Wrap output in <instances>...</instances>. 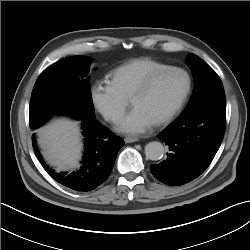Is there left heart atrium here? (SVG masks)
<instances>
[{"label":"left heart atrium","instance_id":"39dd6f15","mask_svg":"<svg viewBox=\"0 0 250 250\" xmlns=\"http://www.w3.org/2000/svg\"><path fill=\"white\" fill-rule=\"evenodd\" d=\"M153 125V120L141 108L134 107L122 119L118 129L128 134H140L146 132Z\"/></svg>","mask_w":250,"mask_h":250}]
</instances>
